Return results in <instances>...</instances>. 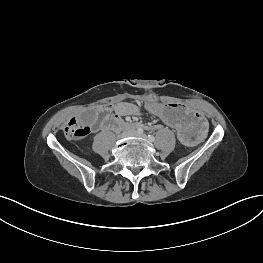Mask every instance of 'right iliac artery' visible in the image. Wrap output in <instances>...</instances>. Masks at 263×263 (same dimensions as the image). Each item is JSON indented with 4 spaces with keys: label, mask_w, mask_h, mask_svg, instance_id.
Returning <instances> with one entry per match:
<instances>
[{
    "label": "right iliac artery",
    "mask_w": 263,
    "mask_h": 263,
    "mask_svg": "<svg viewBox=\"0 0 263 263\" xmlns=\"http://www.w3.org/2000/svg\"><path fill=\"white\" fill-rule=\"evenodd\" d=\"M137 132H138L139 134H142V133H143V129L139 128V129H137Z\"/></svg>",
    "instance_id": "82829eb1"
}]
</instances>
